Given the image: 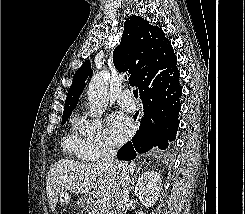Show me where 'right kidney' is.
I'll return each mask as SVG.
<instances>
[{"mask_svg":"<svg viewBox=\"0 0 245 214\" xmlns=\"http://www.w3.org/2000/svg\"><path fill=\"white\" fill-rule=\"evenodd\" d=\"M160 174L154 171L143 173L135 186V194L146 207H152L161 192Z\"/></svg>","mask_w":245,"mask_h":214,"instance_id":"ca27d5eb","label":"right kidney"}]
</instances>
